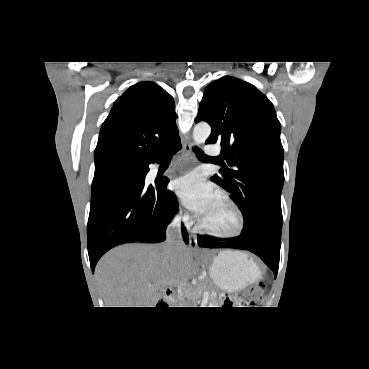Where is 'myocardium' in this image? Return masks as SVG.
I'll use <instances>...</instances> for the list:
<instances>
[{"label": "myocardium", "instance_id": "f54148a6", "mask_svg": "<svg viewBox=\"0 0 369 369\" xmlns=\"http://www.w3.org/2000/svg\"><path fill=\"white\" fill-rule=\"evenodd\" d=\"M217 197L220 198L224 203H226L234 212L236 216V226L233 231L229 233H220L217 232L208 226H206L202 220L200 219L198 222V228L206 233L207 235H210L215 238L219 239H233L238 236H240L244 230L245 227V218L244 214L241 210V208L238 206V204L225 192H218Z\"/></svg>", "mask_w": 369, "mask_h": 369}]
</instances>
